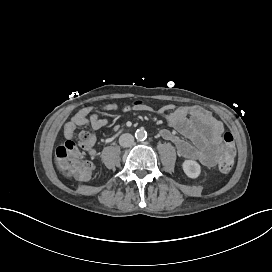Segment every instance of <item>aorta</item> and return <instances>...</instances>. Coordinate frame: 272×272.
I'll return each instance as SVG.
<instances>
[{"instance_id": "762f6f07", "label": "aorta", "mask_w": 272, "mask_h": 272, "mask_svg": "<svg viewBox=\"0 0 272 272\" xmlns=\"http://www.w3.org/2000/svg\"><path fill=\"white\" fill-rule=\"evenodd\" d=\"M135 137L139 141H144L147 138V132L144 129H138L135 132Z\"/></svg>"}]
</instances>
